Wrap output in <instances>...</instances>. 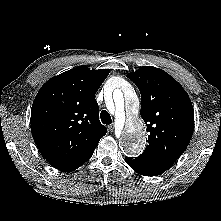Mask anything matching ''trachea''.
Segmentation results:
<instances>
[{
  "instance_id": "trachea-1",
  "label": "trachea",
  "mask_w": 221,
  "mask_h": 221,
  "mask_svg": "<svg viewBox=\"0 0 221 221\" xmlns=\"http://www.w3.org/2000/svg\"><path fill=\"white\" fill-rule=\"evenodd\" d=\"M100 118H101V121L103 124L108 125V124H111V122H112L111 116L106 110H103L100 113Z\"/></svg>"
}]
</instances>
